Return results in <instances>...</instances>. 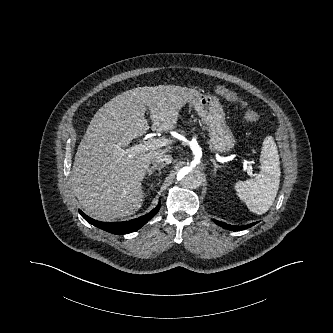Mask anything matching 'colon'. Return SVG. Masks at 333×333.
<instances>
[{
    "label": "colon",
    "mask_w": 333,
    "mask_h": 333,
    "mask_svg": "<svg viewBox=\"0 0 333 333\" xmlns=\"http://www.w3.org/2000/svg\"><path fill=\"white\" fill-rule=\"evenodd\" d=\"M216 93L224 99L237 104L243 111L244 118L249 122H257L260 119V115L248 107L247 103L239 97V95L223 86H217L215 89Z\"/></svg>",
    "instance_id": "1"
}]
</instances>
